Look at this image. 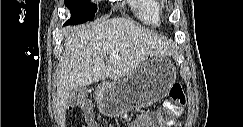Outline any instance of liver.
Wrapping results in <instances>:
<instances>
[{
    "label": "liver",
    "instance_id": "6515ba94",
    "mask_svg": "<svg viewBox=\"0 0 243 127\" xmlns=\"http://www.w3.org/2000/svg\"><path fill=\"white\" fill-rule=\"evenodd\" d=\"M64 47L54 98L57 121L61 125H64L73 89L108 78L119 80L149 56L173 52L170 42L163 36L123 17L101 20L88 27L70 28Z\"/></svg>",
    "mask_w": 243,
    "mask_h": 127
}]
</instances>
